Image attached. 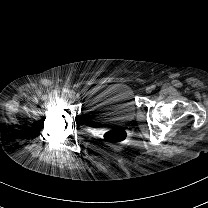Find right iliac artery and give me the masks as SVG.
Instances as JSON below:
<instances>
[{"instance_id": "1", "label": "right iliac artery", "mask_w": 208, "mask_h": 208, "mask_svg": "<svg viewBox=\"0 0 208 208\" xmlns=\"http://www.w3.org/2000/svg\"><path fill=\"white\" fill-rule=\"evenodd\" d=\"M68 92H69L68 89H66V88L63 89V93H68Z\"/></svg>"}]
</instances>
